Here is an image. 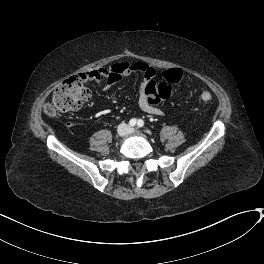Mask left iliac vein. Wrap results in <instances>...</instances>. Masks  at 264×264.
<instances>
[{"label":"left iliac vein","instance_id":"1","mask_svg":"<svg viewBox=\"0 0 264 264\" xmlns=\"http://www.w3.org/2000/svg\"><path fill=\"white\" fill-rule=\"evenodd\" d=\"M131 133H135V130L134 129H131Z\"/></svg>","mask_w":264,"mask_h":264}]
</instances>
